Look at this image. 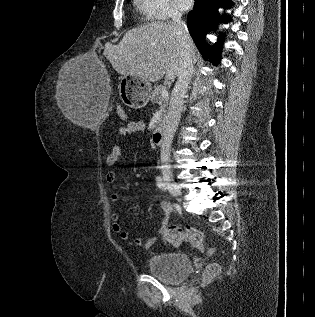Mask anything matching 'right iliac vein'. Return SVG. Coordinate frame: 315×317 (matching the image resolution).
<instances>
[{"mask_svg": "<svg viewBox=\"0 0 315 317\" xmlns=\"http://www.w3.org/2000/svg\"><path fill=\"white\" fill-rule=\"evenodd\" d=\"M163 178L166 182L167 188L169 189L170 193L175 197L181 196V189L179 185L174 182L169 172L163 173Z\"/></svg>", "mask_w": 315, "mask_h": 317, "instance_id": "obj_1", "label": "right iliac vein"}]
</instances>
